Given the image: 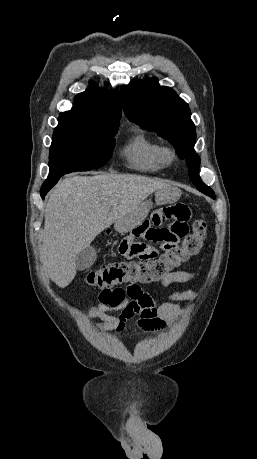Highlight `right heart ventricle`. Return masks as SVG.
I'll use <instances>...</instances> for the list:
<instances>
[{"mask_svg":"<svg viewBox=\"0 0 257 459\" xmlns=\"http://www.w3.org/2000/svg\"><path fill=\"white\" fill-rule=\"evenodd\" d=\"M162 146L139 130L126 143L122 155L130 168L153 173L161 170L166 162L162 156Z\"/></svg>","mask_w":257,"mask_h":459,"instance_id":"1","label":"right heart ventricle"}]
</instances>
